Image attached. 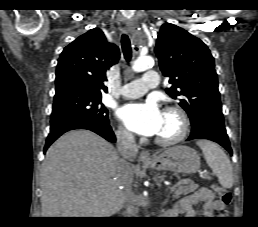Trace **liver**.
Returning <instances> with one entry per match:
<instances>
[{"mask_svg": "<svg viewBox=\"0 0 258 227\" xmlns=\"http://www.w3.org/2000/svg\"><path fill=\"white\" fill-rule=\"evenodd\" d=\"M89 130L62 135L46 152L41 171L42 217H109L132 195L133 168ZM128 177H125V173Z\"/></svg>", "mask_w": 258, "mask_h": 227, "instance_id": "liver-1", "label": "liver"}]
</instances>
